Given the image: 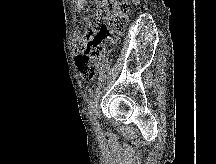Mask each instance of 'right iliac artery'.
<instances>
[{"label":"right iliac artery","mask_w":216,"mask_h":164,"mask_svg":"<svg viewBox=\"0 0 216 164\" xmlns=\"http://www.w3.org/2000/svg\"><path fill=\"white\" fill-rule=\"evenodd\" d=\"M88 109H89L90 120L92 121V124L96 128V131H98L99 125L98 122L96 121L95 112H94V102L92 100H90L88 103Z\"/></svg>","instance_id":"right-iliac-artery-1"}]
</instances>
